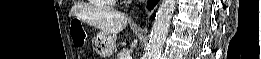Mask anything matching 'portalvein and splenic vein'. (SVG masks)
Instances as JSON below:
<instances>
[{
  "instance_id": "18ae733b",
  "label": "portal vein and splenic vein",
  "mask_w": 261,
  "mask_h": 59,
  "mask_svg": "<svg viewBox=\"0 0 261 59\" xmlns=\"http://www.w3.org/2000/svg\"><path fill=\"white\" fill-rule=\"evenodd\" d=\"M125 59H132V57L130 55H128Z\"/></svg>"
}]
</instances>
